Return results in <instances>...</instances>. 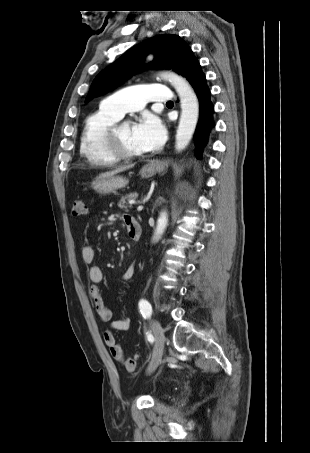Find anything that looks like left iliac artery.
<instances>
[{
	"label": "left iliac artery",
	"mask_w": 310,
	"mask_h": 453,
	"mask_svg": "<svg viewBox=\"0 0 310 453\" xmlns=\"http://www.w3.org/2000/svg\"><path fill=\"white\" fill-rule=\"evenodd\" d=\"M140 312L144 318H149L152 314L151 304L147 300H140L139 302Z\"/></svg>",
	"instance_id": "left-iliac-artery-1"
}]
</instances>
